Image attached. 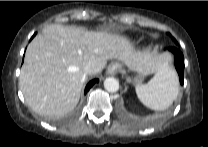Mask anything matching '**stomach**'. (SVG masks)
Here are the masks:
<instances>
[{
    "instance_id": "0dacf381",
    "label": "stomach",
    "mask_w": 208,
    "mask_h": 147,
    "mask_svg": "<svg viewBox=\"0 0 208 147\" xmlns=\"http://www.w3.org/2000/svg\"><path fill=\"white\" fill-rule=\"evenodd\" d=\"M145 75L143 73L137 72V75L133 79L135 85L141 84Z\"/></svg>"
}]
</instances>
